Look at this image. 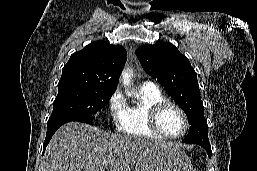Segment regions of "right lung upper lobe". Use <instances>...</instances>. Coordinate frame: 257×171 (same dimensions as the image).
I'll list each match as a JSON object with an SVG mask.
<instances>
[{"mask_svg": "<svg viewBox=\"0 0 257 171\" xmlns=\"http://www.w3.org/2000/svg\"><path fill=\"white\" fill-rule=\"evenodd\" d=\"M126 59L122 46L92 42L71 55L62 69L58 87L87 85L116 90Z\"/></svg>", "mask_w": 257, "mask_h": 171, "instance_id": "obj_1", "label": "right lung upper lobe"}]
</instances>
